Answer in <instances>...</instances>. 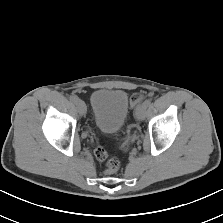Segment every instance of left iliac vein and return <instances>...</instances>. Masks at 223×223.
Listing matches in <instances>:
<instances>
[{
	"label": "left iliac vein",
	"instance_id": "4c4485c4",
	"mask_svg": "<svg viewBox=\"0 0 223 223\" xmlns=\"http://www.w3.org/2000/svg\"><path fill=\"white\" fill-rule=\"evenodd\" d=\"M145 111H146V106L144 104L139 105L135 112V118L138 121H142L145 117Z\"/></svg>",
	"mask_w": 223,
	"mask_h": 223
}]
</instances>
